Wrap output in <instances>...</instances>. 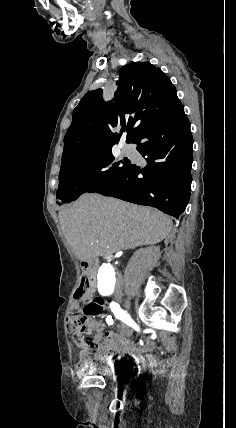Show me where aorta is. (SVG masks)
<instances>
[{"mask_svg":"<svg viewBox=\"0 0 236 428\" xmlns=\"http://www.w3.org/2000/svg\"><path fill=\"white\" fill-rule=\"evenodd\" d=\"M118 273L110 263H103L97 274V287L102 295H110L115 292L118 283Z\"/></svg>","mask_w":236,"mask_h":428,"instance_id":"obj_1","label":"aorta"}]
</instances>
